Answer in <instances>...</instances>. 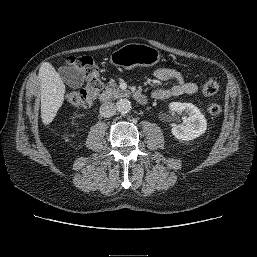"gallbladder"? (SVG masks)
Instances as JSON below:
<instances>
[{
    "mask_svg": "<svg viewBox=\"0 0 257 257\" xmlns=\"http://www.w3.org/2000/svg\"><path fill=\"white\" fill-rule=\"evenodd\" d=\"M59 74L62 80L71 88L77 89L84 84V78L81 71L72 65L59 67Z\"/></svg>",
    "mask_w": 257,
    "mask_h": 257,
    "instance_id": "gallbladder-1",
    "label": "gallbladder"
}]
</instances>
